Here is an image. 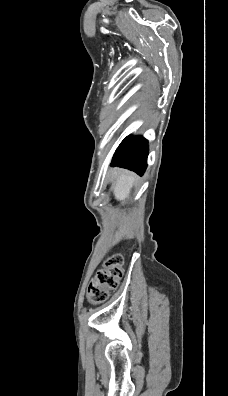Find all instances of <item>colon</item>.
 <instances>
[{"label": "colon", "mask_w": 228, "mask_h": 396, "mask_svg": "<svg viewBox=\"0 0 228 396\" xmlns=\"http://www.w3.org/2000/svg\"><path fill=\"white\" fill-rule=\"evenodd\" d=\"M122 273L123 257L120 254L109 256L88 286L87 298L89 302L100 304L106 301L109 292L118 286Z\"/></svg>", "instance_id": "5ec220e1"}]
</instances>
